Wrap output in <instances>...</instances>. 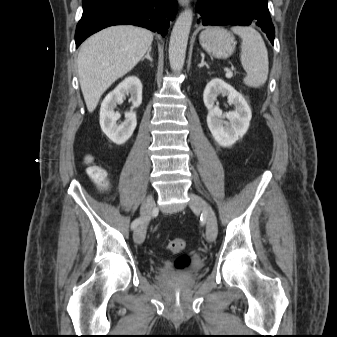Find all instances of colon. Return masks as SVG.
I'll return each mask as SVG.
<instances>
[{
    "instance_id": "5ec220e1",
    "label": "colon",
    "mask_w": 337,
    "mask_h": 337,
    "mask_svg": "<svg viewBox=\"0 0 337 337\" xmlns=\"http://www.w3.org/2000/svg\"><path fill=\"white\" fill-rule=\"evenodd\" d=\"M88 175L97 184V186L105 190L108 187V180L104 171L97 165H89L87 168ZM169 249L174 253H180L185 248V241L180 238L170 240ZM188 265V258L183 256L176 261L178 268H184Z\"/></svg>"
}]
</instances>
